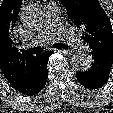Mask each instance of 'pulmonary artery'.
<instances>
[{"instance_id": "e3ab8cb5", "label": "pulmonary artery", "mask_w": 113, "mask_h": 113, "mask_svg": "<svg viewBox=\"0 0 113 113\" xmlns=\"http://www.w3.org/2000/svg\"><path fill=\"white\" fill-rule=\"evenodd\" d=\"M46 19L41 29L34 35V45H40L48 42L56 33L63 31L68 44L76 49H85L86 45L71 31L59 21V8L51 2L44 6Z\"/></svg>"}]
</instances>
